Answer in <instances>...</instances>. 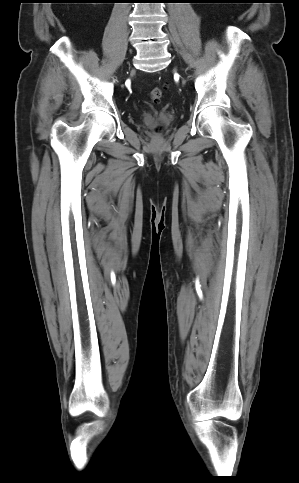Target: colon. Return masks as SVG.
<instances>
[{
	"label": "colon",
	"instance_id": "1",
	"mask_svg": "<svg viewBox=\"0 0 299 483\" xmlns=\"http://www.w3.org/2000/svg\"><path fill=\"white\" fill-rule=\"evenodd\" d=\"M166 87V86H164ZM164 87H160V86H156V87H153L150 91V97L152 99L153 102L157 103L160 101L162 95H163V88ZM155 131L156 132H159L160 131V127L157 126L155 128Z\"/></svg>",
	"mask_w": 299,
	"mask_h": 483
}]
</instances>
